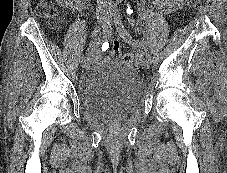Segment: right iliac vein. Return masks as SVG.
Segmentation results:
<instances>
[{
	"instance_id": "1",
	"label": "right iliac vein",
	"mask_w": 227,
	"mask_h": 173,
	"mask_svg": "<svg viewBox=\"0 0 227 173\" xmlns=\"http://www.w3.org/2000/svg\"><path fill=\"white\" fill-rule=\"evenodd\" d=\"M109 21H110L109 16H107L105 13L99 12L97 14V24H98L99 29L104 28L108 24ZM81 65H82V68H87V66L89 65V59L84 58L81 61Z\"/></svg>"
}]
</instances>
